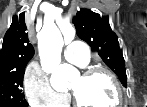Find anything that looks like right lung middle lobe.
<instances>
[{
	"mask_svg": "<svg viewBox=\"0 0 147 107\" xmlns=\"http://www.w3.org/2000/svg\"><path fill=\"white\" fill-rule=\"evenodd\" d=\"M25 68L0 75V107H28L23 87Z\"/></svg>",
	"mask_w": 147,
	"mask_h": 107,
	"instance_id": "1",
	"label": "right lung middle lobe"
}]
</instances>
